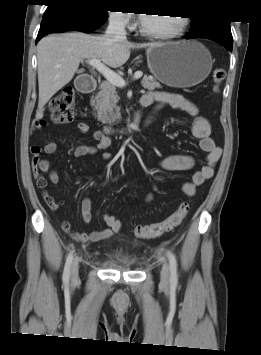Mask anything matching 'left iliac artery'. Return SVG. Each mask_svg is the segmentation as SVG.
Listing matches in <instances>:
<instances>
[{
  "instance_id": "1",
  "label": "left iliac artery",
  "mask_w": 261,
  "mask_h": 355,
  "mask_svg": "<svg viewBox=\"0 0 261 355\" xmlns=\"http://www.w3.org/2000/svg\"><path fill=\"white\" fill-rule=\"evenodd\" d=\"M167 254H168V259L170 264V273H171L170 281L172 285L176 286L178 283L177 261L175 255L171 251H168Z\"/></svg>"
}]
</instances>
